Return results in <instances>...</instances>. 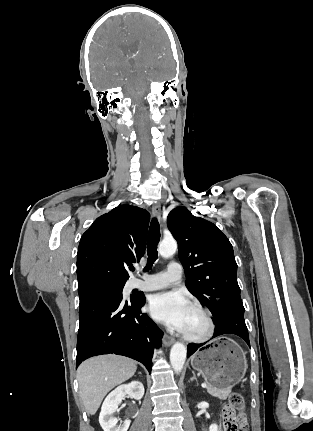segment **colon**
Wrapping results in <instances>:
<instances>
[{
    "label": "colon",
    "instance_id": "5ec220e1",
    "mask_svg": "<svg viewBox=\"0 0 313 431\" xmlns=\"http://www.w3.org/2000/svg\"><path fill=\"white\" fill-rule=\"evenodd\" d=\"M244 407V399L240 393L233 392L229 395L228 403L223 409V418L226 421L225 431H239V428L243 429L235 423L233 416L237 411L242 412Z\"/></svg>",
    "mask_w": 313,
    "mask_h": 431
}]
</instances>
